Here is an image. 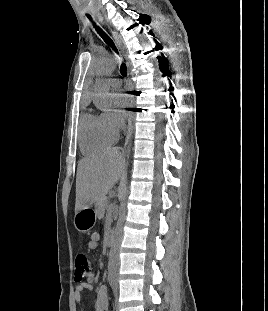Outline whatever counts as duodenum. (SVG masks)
Segmentation results:
<instances>
[{
	"mask_svg": "<svg viewBox=\"0 0 268 311\" xmlns=\"http://www.w3.org/2000/svg\"><path fill=\"white\" fill-rule=\"evenodd\" d=\"M113 243H114V235L113 233H109L106 238V244L107 246H112Z\"/></svg>",
	"mask_w": 268,
	"mask_h": 311,
	"instance_id": "duodenum-1",
	"label": "duodenum"
}]
</instances>
